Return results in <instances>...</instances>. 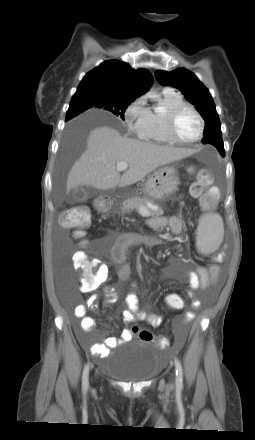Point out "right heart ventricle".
<instances>
[{
    "label": "right heart ventricle",
    "instance_id": "right-heart-ventricle-1",
    "mask_svg": "<svg viewBox=\"0 0 255 440\" xmlns=\"http://www.w3.org/2000/svg\"><path fill=\"white\" fill-rule=\"evenodd\" d=\"M185 104L182 95L173 89L165 88L160 95L159 111H150L147 128L141 138L157 144H172L166 132V114L173 108Z\"/></svg>",
    "mask_w": 255,
    "mask_h": 440
}]
</instances>
